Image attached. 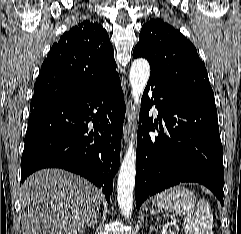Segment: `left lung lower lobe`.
<instances>
[{"label": "left lung lower lobe", "instance_id": "obj_1", "mask_svg": "<svg viewBox=\"0 0 241 234\" xmlns=\"http://www.w3.org/2000/svg\"><path fill=\"white\" fill-rule=\"evenodd\" d=\"M152 91L150 98L148 93ZM158 121L149 117L152 105ZM137 133L136 208L149 196L180 182H197L223 201V148L215 103L150 76L144 90ZM154 126L166 133L151 136Z\"/></svg>", "mask_w": 241, "mask_h": 234}]
</instances>
